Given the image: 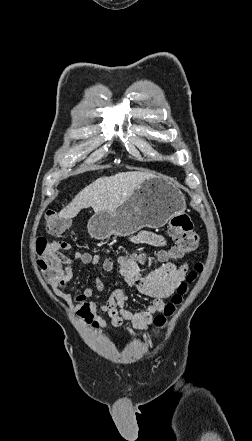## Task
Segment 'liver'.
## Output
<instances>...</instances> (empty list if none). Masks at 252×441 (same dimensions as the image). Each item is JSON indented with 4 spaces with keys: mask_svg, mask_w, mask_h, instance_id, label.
<instances>
[{
    "mask_svg": "<svg viewBox=\"0 0 252 441\" xmlns=\"http://www.w3.org/2000/svg\"><path fill=\"white\" fill-rule=\"evenodd\" d=\"M155 175L148 172H121L103 176L81 190L74 199L60 211L63 218H74L84 208L92 207L95 213L114 211L134 193L146 179Z\"/></svg>",
    "mask_w": 252,
    "mask_h": 441,
    "instance_id": "obj_1",
    "label": "liver"
}]
</instances>
